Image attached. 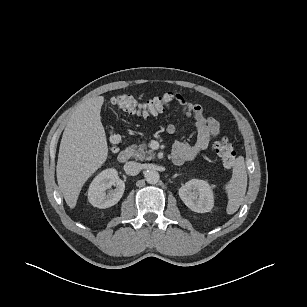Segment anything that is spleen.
Segmentation results:
<instances>
[{"instance_id": "obj_1", "label": "spleen", "mask_w": 307, "mask_h": 307, "mask_svg": "<svg viewBox=\"0 0 307 307\" xmlns=\"http://www.w3.org/2000/svg\"><path fill=\"white\" fill-rule=\"evenodd\" d=\"M247 188V172L243 156L236 158L233 166V174L230 181L225 184L228 196L226 208L227 214H234L242 204Z\"/></svg>"}]
</instances>
